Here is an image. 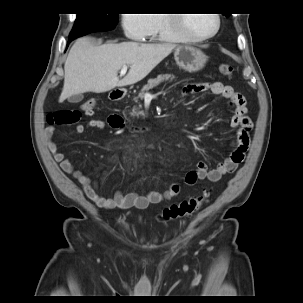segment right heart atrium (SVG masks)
I'll list each match as a JSON object with an SVG mask.
<instances>
[{
  "label": "right heart atrium",
  "mask_w": 303,
  "mask_h": 303,
  "mask_svg": "<svg viewBox=\"0 0 303 303\" xmlns=\"http://www.w3.org/2000/svg\"><path fill=\"white\" fill-rule=\"evenodd\" d=\"M121 25L128 39L141 41L150 33L153 21L150 14H124Z\"/></svg>",
  "instance_id": "right-heart-atrium-1"
}]
</instances>
